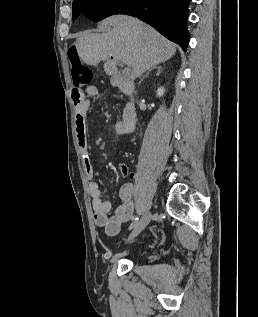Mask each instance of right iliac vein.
<instances>
[{
    "label": "right iliac vein",
    "instance_id": "obj_1",
    "mask_svg": "<svg viewBox=\"0 0 258 317\" xmlns=\"http://www.w3.org/2000/svg\"><path fill=\"white\" fill-rule=\"evenodd\" d=\"M153 213L150 210L145 211L144 215L142 216L141 220L136 224V226L134 227V229H132L131 231V235L129 236V242H132V240L134 239V237H138L139 233L142 232L143 227H145L148 223V221H150V218H152ZM133 236V237H132ZM128 241L124 242L125 244L129 243Z\"/></svg>",
    "mask_w": 258,
    "mask_h": 317
}]
</instances>
